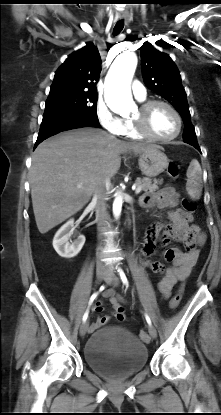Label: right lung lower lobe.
I'll return each mask as SVG.
<instances>
[{"mask_svg": "<svg viewBox=\"0 0 221 415\" xmlns=\"http://www.w3.org/2000/svg\"><path fill=\"white\" fill-rule=\"evenodd\" d=\"M99 121L84 114L63 111H45L34 149L45 139L62 131L82 127H99Z\"/></svg>", "mask_w": 221, "mask_h": 415, "instance_id": "98d812e1", "label": "right lung lower lobe"}]
</instances>
